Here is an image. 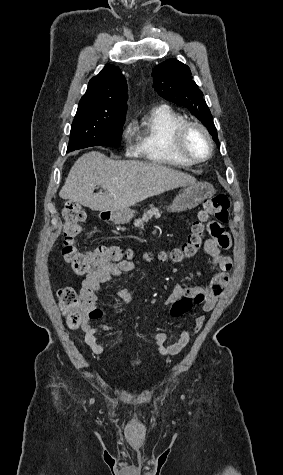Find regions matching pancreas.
<instances>
[{"instance_id":"cf45deb5","label":"pancreas","mask_w":283,"mask_h":475,"mask_svg":"<svg viewBox=\"0 0 283 475\" xmlns=\"http://www.w3.org/2000/svg\"><path fill=\"white\" fill-rule=\"evenodd\" d=\"M162 212H160V210H158V208H151L148 216L149 218H152V216H155V218H160ZM142 222H147V218H142V220H135V224L136 226H138V224H142Z\"/></svg>"}]
</instances>
